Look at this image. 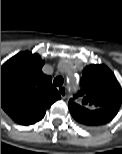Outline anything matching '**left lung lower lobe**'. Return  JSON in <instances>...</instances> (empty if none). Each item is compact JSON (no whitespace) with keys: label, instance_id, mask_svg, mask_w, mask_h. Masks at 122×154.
Returning <instances> with one entry per match:
<instances>
[{"label":"left lung lower lobe","instance_id":"1","mask_svg":"<svg viewBox=\"0 0 122 154\" xmlns=\"http://www.w3.org/2000/svg\"><path fill=\"white\" fill-rule=\"evenodd\" d=\"M101 112H102L101 117L96 118V119H91V121L89 123V125L91 127H96V126H99V125L109 122L110 120H112L114 118V116L117 114L118 111L110 110V109H103ZM85 127H87V126H85ZM91 127H87V128H91Z\"/></svg>","mask_w":122,"mask_h":154}]
</instances>
